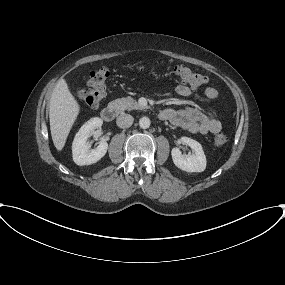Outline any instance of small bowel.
I'll list each match as a JSON object with an SVG mask.
<instances>
[{
	"label": "small bowel",
	"mask_w": 285,
	"mask_h": 285,
	"mask_svg": "<svg viewBox=\"0 0 285 285\" xmlns=\"http://www.w3.org/2000/svg\"><path fill=\"white\" fill-rule=\"evenodd\" d=\"M176 92L182 97H190L194 93V88L179 84ZM203 94L207 100H214L218 96L214 87L205 88ZM160 117L194 134H217L222 129V124L213 111H202L188 106L182 109H164Z\"/></svg>",
	"instance_id": "c3829d8e"
}]
</instances>
